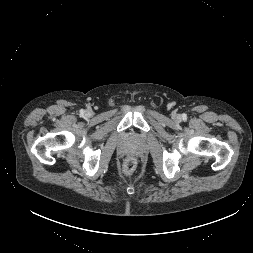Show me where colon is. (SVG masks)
<instances>
[{"label":"colon","instance_id":"5ec220e1","mask_svg":"<svg viewBox=\"0 0 253 253\" xmlns=\"http://www.w3.org/2000/svg\"><path fill=\"white\" fill-rule=\"evenodd\" d=\"M136 167V162L133 158H128L123 166V170L126 174L130 175L134 172Z\"/></svg>","mask_w":253,"mask_h":253}]
</instances>
